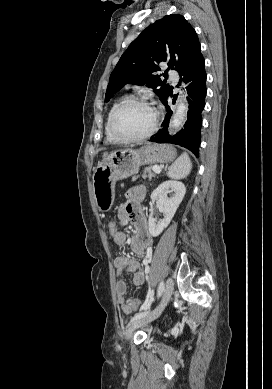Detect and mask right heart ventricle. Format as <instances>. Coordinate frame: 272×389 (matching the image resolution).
Listing matches in <instances>:
<instances>
[{
	"instance_id": "e07e8e85",
	"label": "right heart ventricle",
	"mask_w": 272,
	"mask_h": 389,
	"mask_svg": "<svg viewBox=\"0 0 272 389\" xmlns=\"http://www.w3.org/2000/svg\"><path fill=\"white\" fill-rule=\"evenodd\" d=\"M125 99V97H120L118 98L111 106L108 114H107V117H106V121H105V137H106V142L107 143H117L118 140H116L113 135L111 134L110 132V127H109V121H110V117H111V114L113 112V110L118 106L119 103H121L123 100Z\"/></svg>"
}]
</instances>
